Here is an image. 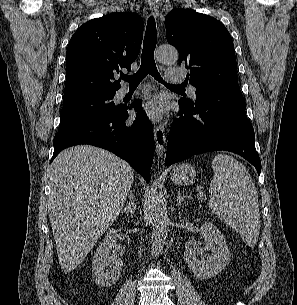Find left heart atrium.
<instances>
[{"label": "left heart atrium", "instance_id": "left-heart-atrium-1", "mask_svg": "<svg viewBox=\"0 0 297 305\" xmlns=\"http://www.w3.org/2000/svg\"><path fill=\"white\" fill-rule=\"evenodd\" d=\"M143 113L152 120H158L164 112V102L159 97L147 101L142 108Z\"/></svg>", "mask_w": 297, "mask_h": 305}]
</instances>
